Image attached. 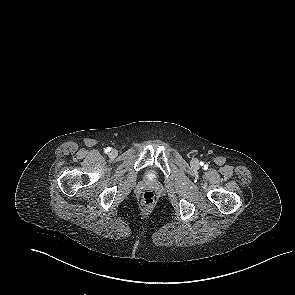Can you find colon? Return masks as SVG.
I'll use <instances>...</instances> for the list:
<instances>
[{
	"mask_svg": "<svg viewBox=\"0 0 295 295\" xmlns=\"http://www.w3.org/2000/svg\"><path fill=\"white\" fill-rule=\"evenodd\" d=\"M142 201L145 205H151L155 201V194L153 191H145L142 194Z\"/></svg>",
	"mask_w": 295,
	"mask_h": 295,
	"instance_id": "1",
	"label": "colon"
}]
</instances>
